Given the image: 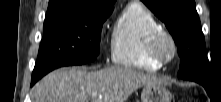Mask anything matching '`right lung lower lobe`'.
Returning <instances> with one entry per match:
<instances>
[{"instance_id":"right-lung-lower-lobe-1","label":"right lung lower lobe","mask_w":221,"mask_h":102,"mask_svg":"<svg viewBox=\"0 0 221 102\" xmlns=\"http://www.w3.org/2000/svg\"><path fill=\"white\" fill-rule=\"evenodd\" d=\"M38 80H39V78L32 77L31 86H33Z\"/></svg>"}]
</instances>
